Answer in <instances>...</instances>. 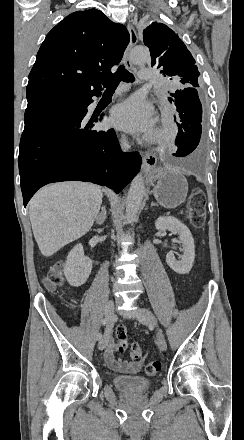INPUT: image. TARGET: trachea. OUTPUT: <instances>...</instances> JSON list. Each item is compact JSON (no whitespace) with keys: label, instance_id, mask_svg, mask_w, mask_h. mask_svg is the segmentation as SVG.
I'll list each match as a JSON object with an SVG mask.
<instances>
[{"label":"trachea","instance_id":"3493384b","mask_svg":"<svg viewBox=\"0 0 244 440\" xmlns=\"http://www.w3.org/2000/svg\"><path fill=\"white\" fill-rule=\"evenodd\" d=\"M135 78L132 73L128 72L123 66L120 67L117 72L106 80H102L103 86L106 88V92L115 91L120 82H134Z\"/></svg>","mask_w":244,"mask_h":440}]
</instances>
